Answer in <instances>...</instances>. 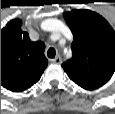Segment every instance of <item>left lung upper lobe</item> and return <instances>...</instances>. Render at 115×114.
Wrapping results in <instances>:
<instances>
[{
  "mask_svg": "<svg viewBox=\"0 0 115 114\" xmlns=\"http://www.w3.org/2000/svg\"><path fill=\"white\" fill-rule=\"evenodd\" d=\"M73 34V56L62 64L69 78L84 89L104 85L115 71V31L90 10L64 13Z\"/></svg>",
  "mask_w": 115,
  "mask_h": 114,
  "instance_id": "obj_1",
  "label": "left lung upper lobe"
}]
</instances>
